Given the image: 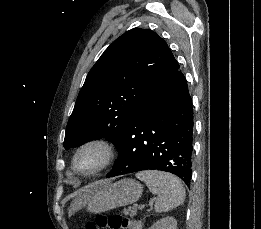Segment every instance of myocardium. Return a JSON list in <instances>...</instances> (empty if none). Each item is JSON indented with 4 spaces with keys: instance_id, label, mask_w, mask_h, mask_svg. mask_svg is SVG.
Returning a JSON list of instances; mask_svg holds the SVG:
<instances>
[{
    "instance_id": "obj_1",
    "label": "myocardium",
    "mask_w": 261,
    "mask_h": 229,
    "mask_svg": "<svg viewBox=\"0 0 261 229\" xmlns=\"http://www.w3.org/2000/svg\"><path fill=\"white\" fill-rule=\"evenodd\" d=\"M88 151H97L100 154L99 164L91 169L86 170L80 167L79 159L80 157ZM114 148L113 145L104 138H92L88 139L81 144H79L72 156V168L73 170L82 176H94L103 170H105L113 161L114 158Z\"/></svg>"
}]
</instances>
